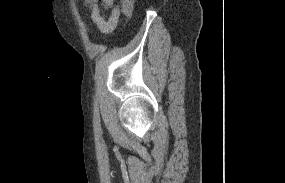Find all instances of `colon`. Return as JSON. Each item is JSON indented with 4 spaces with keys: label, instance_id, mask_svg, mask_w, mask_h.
Segmentation results:
<instances>
[{
    "label": "colon",
    "instance_id": "colon-1",
    "mask_svg": "<svg viewBox=\"0 0 285 183\" xmlns=\"http://www.w3.org/2000/svg\"><path fill=\"white\" fill-rule=\"evenodd\" d=\"M123 13L127 18H130L133 14L134 0H120Z\"/></svg>",
    "mask_w": 285,
    "mask_h": 183
}]
</instances>
